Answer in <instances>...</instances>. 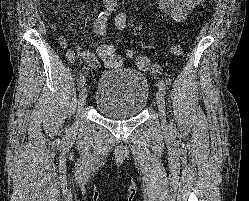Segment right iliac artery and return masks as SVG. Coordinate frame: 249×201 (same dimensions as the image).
Returning a JSON list of instances; mask_svg holds the SVG:
<instances>
[{
	"label": "right iliac artery",
	"mask_w": 249,
	"mask_h": 201,
	"mask_svg": "<svg viewBox=\"0 0 249 201\" xmlns=\"http://www.w3.org/2000/svg\"><path fill=\"white\" fill-rule=\"evenodd\" d=\"M109 15H110V11H108V10L102 11L98 15V18H97L96 23H95V27H96V31L100 35H104L106 32V23H107ZM85 82H86V77L80 76V78L78 79V87L79 88L83 87Z\"/></svg>",
	"instance_id": "right-iliac-artery-1"
}]
</instances>
